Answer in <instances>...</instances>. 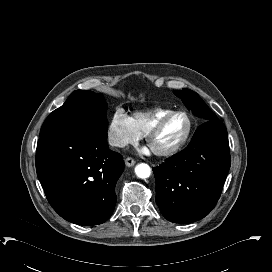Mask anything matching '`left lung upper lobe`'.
<instances>
[{"instance_id": "1", "label": "left lung upper lobe", "mask_w": 272, "mask_h": 272, "mask_svg": "<svg viewBox=\"0 0 272 272\" xmlns=\"http://www.w3.org/2000/svg\"><path fill=\"white\" fill-rule=\"evenodd\" d=\"M174 94L179 97L185 106L192 110L196 116L204 118L205 121L218 120L215 113L206 105L197 93L189 89H183L174 91Z\"/></svg>"}]
</instances>
